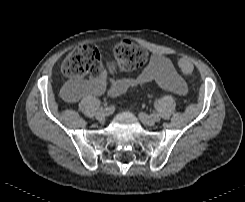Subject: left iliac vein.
<instances>
[{
    "label": "left iliac vein",
    "mask_w": 245,
    "mask_h": 202,
    "mask_svg": "<svg viewBox=\"0 0 245 202\" xmlns=\"http://www.w3.org/2000/svg\"><path fill=\"white\" fill-rule=\"evenodd\" d=\"M139 118L141 122L146 126H153L156 123L155 118L148 116L144 112L139 113Z\"/></svg>",
    "instance_id": "1"
}]
</instances>
